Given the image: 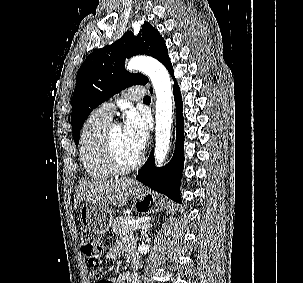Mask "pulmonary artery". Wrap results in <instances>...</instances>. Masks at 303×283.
<instances>
[{
  "mask_svg": "<svg viewBox=\"0 0 303 283\" xmlns=\"http://www.w3.org/2000/svg\"><path fill=\"white\" fill-rule=\"evenodd\" d=\"M146 94V89L143 86H132L127 88L122 96L126 100H140ZM116 103L115 102H106L104 103L99 110L106 116L112 118L116 111Z\"/></svg>",
  "mask_w": 303,
  "mask_h": 283,
  "instance_id": "1",
  "label": "pulmonary artery"
}]
</instances>
